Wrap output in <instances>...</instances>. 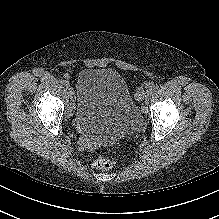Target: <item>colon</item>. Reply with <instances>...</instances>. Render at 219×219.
I'll use <instances>...</instances> for the list:
<instances>
[{"mask_svg":"<svg viewBox=\"0 0 219 219\" xmlns=\"http://www.w3.org/2000/svg\"><path fill=\"white\" fill-rule=\"evenodd\" d=\"M115 165V160L99 157L94 161V167L98 170H109Z\"/></svg>","mask_w":219,"mask_h":219,"instance_id":"obj_1","label":"colon"}]
</instances>
